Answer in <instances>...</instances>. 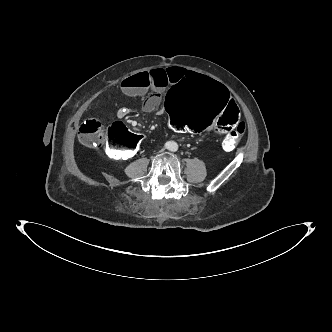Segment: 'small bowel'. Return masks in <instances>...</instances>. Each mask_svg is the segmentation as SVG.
Masks as SVG:
<instances>
[{
    "mask_svg": "<svg viewBox=\"0 0 332 332\" xmlns=\"http://www.w3.org/2000/svg\"><path fill=\"white\" fill-rule=\"evenodd\" d=\"M188 74V70L181 67L155 68L131 75L121 82V92L128 97L142 96L147 92L152 94L144 101L146 112L161 111V95L177 85L179 80ZM127 109H119L117 116L124 118ZM171 125V124H170ZM173 130H176L171 126Z\"/></svg>",
    "mask_w": 332,
    "mask_h": 332,
    "instance_id": "small-bowel-1",
    "label": "small bowel"
}]
</instances>
